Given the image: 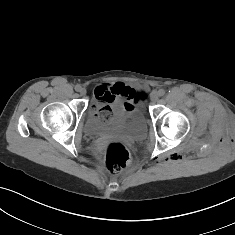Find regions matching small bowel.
Listing matches in <instances>:
<instances>
[{
    "instance_id": "1",
    "label": "small bowel",
    "mask_w": 235,
    "mask_h": 235,
    "mask_svg": "<svg viewBox=\"0 0 235 235\" xmlns=\"http://www.w3.org/2000/svg\"><path fill=\"white\" fill-rule=\"evenodd\" d=\"M143 91L139 88L126 86L124 83L117 82L114 84H99L94 88V100L96 102L107 104L101 108L112 109L118 105L127 107L132 105L131 97L135 92ZM122 100L124 102H122Z\"/></svg>"
}]
</instances>
